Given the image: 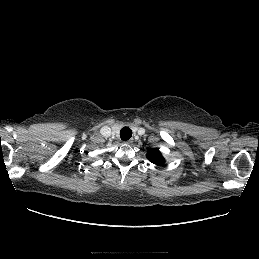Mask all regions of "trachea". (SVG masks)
Segmentation results:
<instances>
[{
  "label": "trachea",
  "instance_id": "1",
  "mask_svg": "<svg viewBox=\"0 0 259 259\" xmlns=\"http://www.w3.org/2000/svg\"><path fill=\"white\" fill-rule=\"evenodd\" d=\"M132 136V130L128 127H124L120 131V137L123 141H127L131 138Z\"/></svg>",
  "mask_w": 259,
  "mask_h": 259
}]
</instances>
